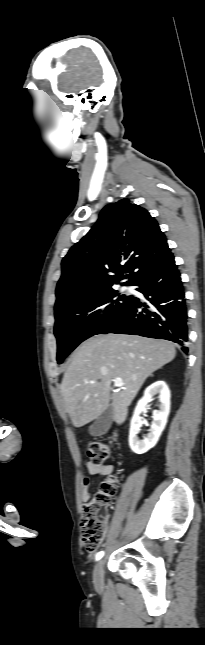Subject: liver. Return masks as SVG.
Returning a JSON list of instances; mask_svg holds the SVG:
<instances>
[{"label": "liver", "instance_id": "obj_1", "mask_svg": "<svg viewBox=\"0 0 205 645\" xmlns=\"http://www.w3.org/2000/svg\"><path fill=\"white\" fill-rule=\"evenodd\" d=\"M175 355L170 342L141 336L105 334L84 341L74 352L61 383L64 409L73 426L82 427L97 419L110 401L113 420L122 424L145 380ZM116 378L125 385L111 394Z\"/></svg>", "mask_w": 205, "mask_h": 645}]
</instances>
